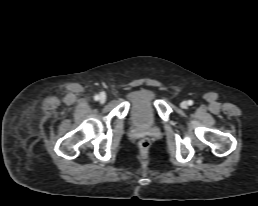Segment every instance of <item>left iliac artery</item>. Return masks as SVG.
Returning <instances> with one entry per match:
<instances>
[{"mask_svg":"<svg viewBox=\"0 0 258 206\" xmlns=\"http://www.w3.org/2000/svg\"><path fill=\"white\" fill-rule=\"evenodd\" d=\"M188 104H189V105H193V101H192V100H189V101H188Z\"/></svg>","mask_w":258,"mask_h":206,"instance_id":"left-iliac-artery-1","label":"left iliac artery"}]
</instances>
